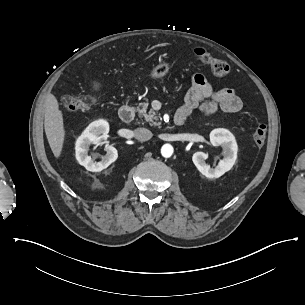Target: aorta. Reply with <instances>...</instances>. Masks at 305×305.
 Returning <instances> with one entry per match:
<instances>
[{
  "instance_id": "obj_1",
  "label": "aorta",
  "mask_w": 305,
  "mask_h": 305,
  "mask_svg": "<svg viewBox=\"0 0 305 305\" xmlns=\"http://www.w3.org/2000/svg\"><path fill=\"white\" fill-rule=\"evenodd\" d=\"M173 146L171 144H164L161 148V154L164 158H169L173 154Z\"/></svg>"
}]
</instances>
